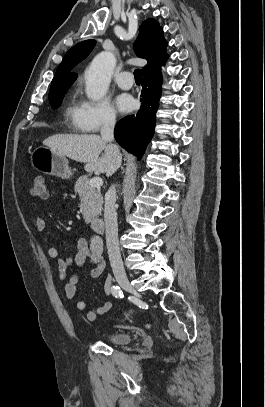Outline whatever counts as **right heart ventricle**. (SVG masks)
Wrapping results in <instances>:
<instances>
[{"label": "right heart ventricle", "mask_w": 265, "mask_h": 407, "mask_svg": "<svg viewBox=\"0 0 265 407\" xmlns=\"http://www.w3.org/2000/svg\"><path fill=\"white\" fill-rule=\"evenodd\" d=\"M64 117L70 128L77 132H84L86 129L79 121V106L71 99L64 110Z\"/></svg>", "instance_id": "obj_1"}]
</instances>
